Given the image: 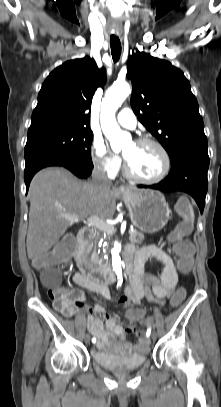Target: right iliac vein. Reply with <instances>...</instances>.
Masks as SVG:
<instances>
[{"label": "right iliac vein", "instance_id": "right-iliac-vein-1", "mask_svg": "<svg viewBox=\"0 0 221 407\" xmlns=\"http://www.w3.org/2000/svg\"><path fill=\"white\" fill-rule=\"evenodd\" d=\"M84 341H85L86 343H89V342H90V336H89L88 334H86V335L84 336Z\"/></svg>", "mask_w": 221, "mask_h": 407}]
</instances>
